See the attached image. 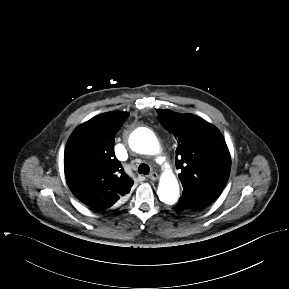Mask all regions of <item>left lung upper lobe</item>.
Masks as SVG:
<instances>
[{
  "label": "left lung upper lobe",
  "mask_w": 289,
  "mask_h": 289,
  "mask_svg": "<svg viewBox=\"0 0 289 289\" xmlns=\"http://www.w3.org/2000/svg\"><path fill=\"white\" fill-rule=\"evenodd\" d=\"M156 111L162 126L178 140L176 167L182 170L183 195L213 202L230 174L231 158L222 134L196 115Z\"/></svg>",
  "instance_id": "obj_1"
}]
</instances>
